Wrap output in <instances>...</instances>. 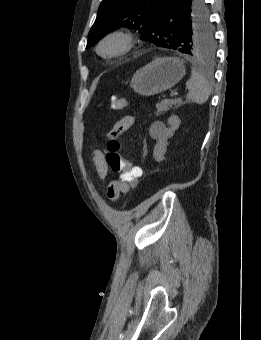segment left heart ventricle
<instances>
[{
  "label": "left heart ventricle",
  "instance_id": "left-heart-ventricle-1",
  "mask_svg": "<svg viewBox=\"0 0 261 340\" xmlns=\"http://www.w3.org/2000/svg\"><path fill=\"white\" fill-rule=\"evenodd\" d=\"M117 47H118V43L110 42V43L105 45L104 51L105 52H111V51L115 50Z\"/></svg>",
  "mask_w": 261,
  "mask_h": 340
}]
</instances>
